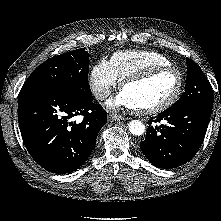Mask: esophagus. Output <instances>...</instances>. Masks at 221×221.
Segmentation results:
<instances>
[{"mask_svg":"<svg viewBox=\"0 0 221 221\" xmlns=\"http://www.w3.org/2000/svg\"><path fill=\"white\" fill-rule=\"evenodd\" d=\"M110 121H120V120H125V117L118 115V114H114V113H110L108 116Z\"/></svg>","mask_w":221,"mask_h":221,"instance_id":"34e87169","label":"esophagus"}]
</instances>
